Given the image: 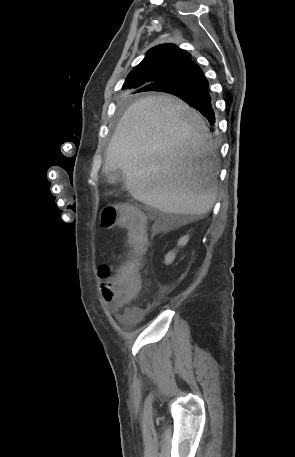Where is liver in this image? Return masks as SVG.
<instances>
[{"label": "liver", "mask_w": 295, "mask_h": 457, "mask_svg": "<svg viewBox=\"0 0 295 457\" xmlns=\"http://www.w3.org/2000/svg\"><path fill=\"white\" fill-rule=\"evenodd\" d=\"M209 137L201 114L180 99L144 97L120 119L103 172L121 169L127 190L145 205L202 216L214 206L218 188L219 163Z\"/></svg>", "instance_id": "1"}]
</instances>
